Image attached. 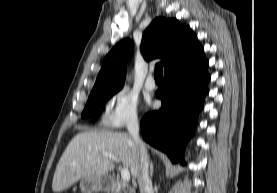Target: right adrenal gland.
I'll use <instances>...</instances> for the list:
<instances>
[{
  "label": "right adrenal gland",
  "mask_w": 277,
  "mask_h": 193,
  "mask_svg": "<svg viewBox=\"0 0 277 193\" xmlns=\"http://www.w3.org/2000/svg\"><path fill=\"white\" fill-rule=\"evenodd\" d=\"M153 171H154V165H153V162L151 161V163H150V176L151 177L153 176Z\"/></svg>",
  "instance_id": "1"
}]
</instances>
